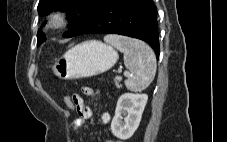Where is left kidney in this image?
<instances>
[{"label":"left kidney","instance_id":"5707ae66","mask_svg":"<svg viewBox=\"0 0 227 142\" xmlns=\"http://www.w3.org/2000/svg\"><path fill=\"white\" fill-rule=\"evenodd\" d=\"M147 100V94L124 93L119 97L111 122V131L115 137L126 140L134 134L140 124Z\"/></svg>","mask_w":227,"mask_h":142}]
</instances>
